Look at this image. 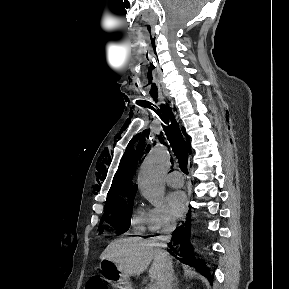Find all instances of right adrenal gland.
<instances>
[{
	"label": "right adrenal gland",
	"mask_w": 289,
	"mask_h": 289,
	"mask_svg": "<svg viewBox=\"0 0 289 289\" xmlns=\"http://www.w3.org/2000/svg\"><path fill=\"white\" fill-rule=\"evenodd\" d=\"M174 281V289H178V281L176 277H174Z\"/></svg>",
	"instance_id": "obj_1"
}]
</instances>
